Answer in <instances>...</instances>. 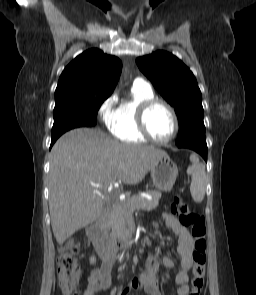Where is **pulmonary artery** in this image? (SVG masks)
<instances>
[{"mask_svg": "<svg viewBox=\"0 0 256 295\" xmlns=\"http://www.w3.org/2000/svg\"><path fill=\"white\" fill-rule=\"evenodd\" d=\"M133 85L137 87L151 88L150 84L142 78L135 79Z\"/></svg>", "mask_w": 256, "mask_h": 295, "instance_id": "pulmonary-artery-1", "label": "pulmonary artery"}]
</instances>
